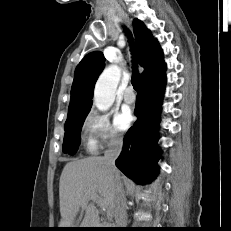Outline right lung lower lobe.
<instances>
[{
  "mask_svg": "<svg viewBox=\"0 0 231 231\" xmlns=\"http://www.w3.org/2000/svg\"><path fill=\"white\" fill-rule=\"evenodd\" d=\"M166 82L165 73L141 83L134 114L137 121L124 137L123 150L116 166L137 184L149 183L159 171L153 164L160 152L157 146V127L161 100Z\"/></svg>",
  "mask_w": 231,
  "mask_h": 231,
  "instance_id": "obj_1",
  "label": "right lung lower lobe"
}]
</instances>
